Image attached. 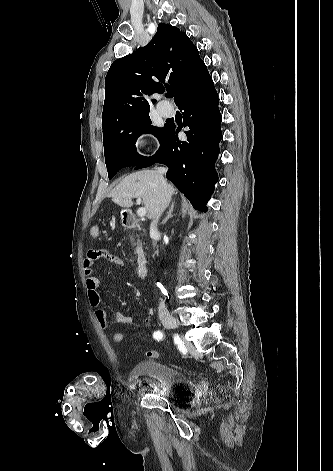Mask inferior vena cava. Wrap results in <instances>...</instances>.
Returning a JSON list of instances; mask_svg holds the SVG:
<instances>
[{
  "mask_svg": "<svg viewBox=\"0 0 333 471\" xmlns=\"http://www.w3.org/2000/svg\"><path fill=\"white\" fill-rule=\"evenodd\" d=\"M166 171H167L166 167H160V168H158V171H157L158 175H159L160 183H161V186H162V194H161L159 204L157 206L156 216H155L154 220L152 221V223L150 225V235H151V237H153L155 235H158V229H157L158 219L161 216L164 209L169 204L170 199H171L170 192H169V189H168V185H167L166 180L164 178V175H165ZM158 311L161 312V313L167 312V307H166L165 301L163 299H160V303H159V306H158Z\"/></svg>",
  "mask_w": 333,
  "mask_h": 471,
  "instance_id": "1",
  "label": "inferior vena cava"
}]
</instances>
